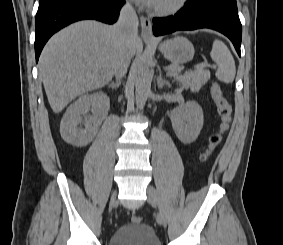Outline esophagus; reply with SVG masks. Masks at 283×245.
Segmentation results:
<instances>
[{
	"instance_id": "esophagus-1",
	"label": "esophagus",
	"mask_w": 283,
	"mask_h": 245,
	"mask_svg": "<svg viewBox=\"0 0 283 245\" xmlns=\"http://www.w3.org/2000/svg\"><path fill=\"white\" fill-rule=\"evenodd\" d=\"M141 36L144 41H154V36L152 32V23L151 20L147 17L141 16Z\"/></svg>"
}]
</instances>
